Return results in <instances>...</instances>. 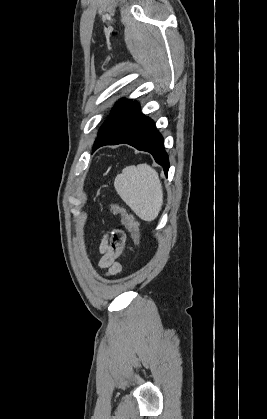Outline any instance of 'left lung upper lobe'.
Returning <instances> with one entry per match:
<instances>
[{"instance_id":"5c2ea615","label":"left lung upper lobe","mask_w":267,"mask_h":419,"mask_svg":"<svg viewBox=\"0 0 267 419\" xmlns=\"http://www.w3.org/2000/svg\"><path fill=\"white\" fill-rule=\"evenodd\" d=\"M132 103L131 100H121L117 103L114 110L111 112L109 118L105 121V123L102 125V127L99 130L98 137L96 140H98L113 124L115 114L119 111L124 110Z\"/></svg>"}]
</instances>
